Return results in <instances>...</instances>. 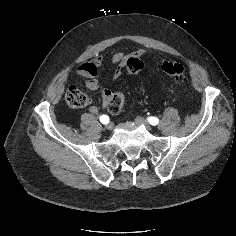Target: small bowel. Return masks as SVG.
<instances>
[{"label":"small bowel","mask_w":236,"mask_h":236,"mask_svg":"<svg viewBox=\"0 0 236 236\" xmlns=\"http://www.w3.org/2000/svg\"><path fill=\"white\" fill-rule=\"evenodd\" d=\"M144 54V50H137L132 53H124L122 51H112L110 54V61L112 65L115 66V71L113 74V79L117 80L123 73L124 68L127 65V62L132 57H141ZM103 66V61L100 56H96L90 62H84L77 68V73L85 78L86 87L91 90L98 92L102 99V106L107 107L110 99L113 96V93L107 88H100L98 82V74ZM89 112L91 114H97L98 108L96 106H90Z\"/></svg>","instance_id":"obj_1"}]
</instances>
